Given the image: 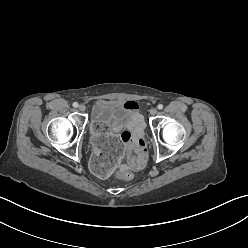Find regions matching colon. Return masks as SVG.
Returning <instances> with one entry per match:
<instances>
[{
    "label": "colon",
    "instance_id": "5ec220e1",
    "mask_svg": "<svg viewBox=\"0 0 248 248\" xmlns=\"http://www.w3.org/2000/svg\"><path fill=\"white\" fill-rule=\"evenodd\" d=\"M94 132L99 135L94 140V145L98 151L91 161V169L99 175L107 176L110 173V166L113 160H120L124 156V151L121 148L122 141L114 136L112 128L107 127L105 123L98 122L93 125ZM117 176L124 181H131L133 175L128 171H119Z\"/></svg>",
    "mask_w": 248,
    "mask_h": 248
}]
</instances>
